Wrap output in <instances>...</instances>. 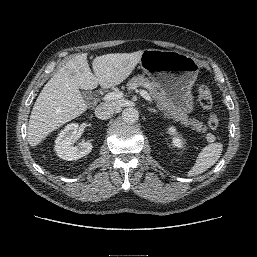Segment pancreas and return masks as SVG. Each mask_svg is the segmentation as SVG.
Segmentation results:
<instances>
[{"label": "pancreas", "mask_w": 257, "mask_h": 257, "mask_svg": "<svg viewBox=\"0 0 257 257\" xmlns=\"http://www.w3.org/2000/svg\"><path fill=\"white\" fill-rule=\"evenodd\" d=\"M139 86H143L149 90L150 95L156 102V105L160 111L163 112L164 116L171 118L174 121H180L185 126H190L193 130L202 131L203 133L207 130L206 127H202L203 124L195 119H190L187 114L176 110L173 105L168 101L166 95L160 89L159 85L153 81H150L144 75H138L131 78L127 83V89H136Z\"/></svg>", "instance_id": "pancreas-1"}]
</instances>
